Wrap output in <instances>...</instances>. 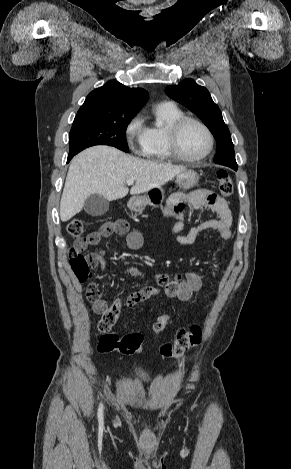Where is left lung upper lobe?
I'll return each mask as SVG.
<instances>
[{"label":"left lung upper lobe","mask_w":291,"mask_h":469,"mask_svg":"<svg viewBox=\"0 0 291 469\" xmlns=\"http://www.w3.org/2000/svg\"><path fill=\"white\" fill-rule=\"evenodd\" d=\"M165 92L170 98L194 112L214 135L217 142L214 162L237 170L230 132L209 91L188 78L178 85L167 86Z\"/></svg>","instance_id":"1"}]
</instances>
